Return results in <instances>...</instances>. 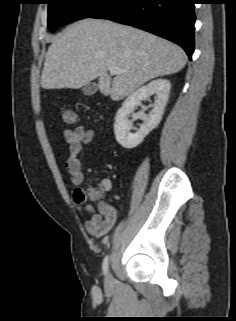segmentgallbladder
Returning a JSON list of instances; mask_svg holds the SVG:
<instances>
[{
  "mask_svg": "<svg viewBox=\"0 0 236 321\" xmlns=\"http://www.w3.org/2000/svg\"><path fill=\"white\" fill-rule=\"evenodd\" d=\"M97 88L98 87L95 82H90L83 87L82 92L84 95L91 96L96 93Z\"/></svg>",
  "mask_w": 236,
  "mask_h": 321,
  "instance_id": "bac80fb5",
  "label": "gallbladder"
}]
</instances>
